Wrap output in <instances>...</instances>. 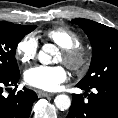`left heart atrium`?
<instances>
[{
	"instance_id": "obj_1",
	"label": "left heart atrium",
	"mask_w": 118,
	"mask_h": 118,
	"mask_svg": "<svg viewBox=\"0 0 118 118\" xmlns=\"http://www.w3.org/2000/svg\"><path fill=\"white\" fill-rule=\"evenodd\" d=\"M24 77L30 86L45 91H56L67 80L68 75L63 66L38 65L28 69Z\"/></svg>"
}]
</instances>
